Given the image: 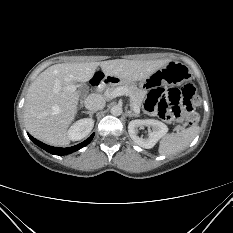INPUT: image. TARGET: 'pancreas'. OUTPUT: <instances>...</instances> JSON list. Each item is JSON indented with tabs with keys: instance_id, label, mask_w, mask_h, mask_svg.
<instances>
[{
	"instance_id": "cf45deb5",
	"label": "pancreas",
	"mask_w": 233,
	"mask_h": 233,
	"mask_svg": "<svg viewBox=\"0 0 233 233\" xmlns=\"http://www.w3.org/2000/svg\"><path fill=\"white\" fill-rule=\"evenodd\" d=\"M117 87H124L127 89L128 94L131 97V105H134L140 109L142 102L145 97V92L143 90H140L132 85H129L127 83H119L115 86L108 87L106 90L111 91ZM178 128H182L181 126H178Z\"/></svg>"
}]
</instances>
